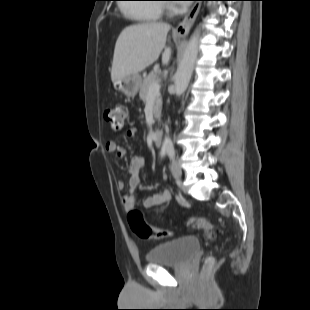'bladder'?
<instances>
[{"label":"bladder","instance_id":"31cf9c89","mask_svg":"<svg viewBox=\"0 0 310 310\" xmlns=\"http://www.w3.org/2000/svg\"><path fill=\"white\" fill-rule=\"evenodd\" d=\"M199 249L196 238L184 236L154 246L147 252L146 259L149 264L181 266L191 261Z\"/></svg>","mask_w":310,"mask_h":310}]
</instances>
